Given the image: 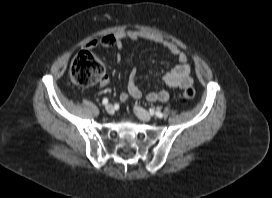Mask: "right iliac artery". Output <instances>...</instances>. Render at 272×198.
<instances>
[{"instance_id": "1", "label": "right iliac artery", "mask_w": 272, "mask_h": 198, "mask_svg": "<svg viewBox=\"0 0 272 198\" xmlns=\"http://www.w3.org/2000/svg\"><path fill=\"white\" fill-rule=\"evenodd\" d=\"M102 104H103V105H107V104H108V99H107V98H104V99L102 100Z\"/></svg>"}]
</instances>
